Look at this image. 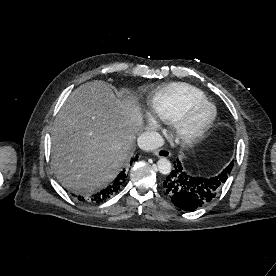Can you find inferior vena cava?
Listing matches in <instances>:
<instances>
[{
	"label": "inferior vena cava",
	"mask_w": 276,
	"mask_h": 276,
	"mask_svg": "<svg viewBox=\"0 0 276 276\" xmlns=\"http://www.w3.org/2000/svg\"><path fill=\"white\" fill-rule=\"evenodd\" d=\"M164 143L162 136L157 132H144L139 135L137 144L140 149L150 151L161 147Z\"/></svg>",
	"instance_id": "obj_1"
}]
</instances>
